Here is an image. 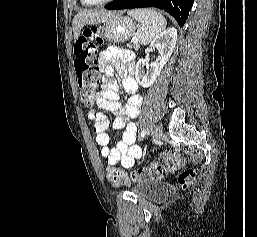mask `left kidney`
Wrapping results in <instances>:
<instances>
[{"label": "left kidney", "instance_id": "5707ae66", "mask_svg": "<svg viewBox=\"0 0 257 237\" xmlns=\"http://www.w3.org/2000/svg\"><path fill=\"white\" fill-rule=\"evenodd\" d=\"M176 41L177 30L172 27L163 31L151 42L148 50L157 49L160 54V61L149 63L147 57L138 60L135 67V78L139 85L144 88L150 87L156 81L164 65L171 57Z\"/></svg>", "mask_w": 257, "mask_h": 237}]
</instances>
